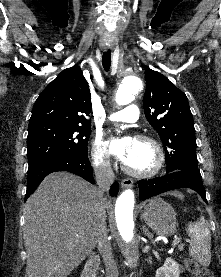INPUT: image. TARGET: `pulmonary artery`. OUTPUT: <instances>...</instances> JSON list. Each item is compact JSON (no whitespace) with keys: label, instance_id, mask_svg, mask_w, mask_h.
<instances>
[{"label":"pulmonary artery","instance_id":"1","mask_svg":"<svg viewBox=\"0 0 221 277\" xmlns=\"http://www.w3.org/2000/svg\"><path fill=\"white\" fill-rule=\"evenodd\" d=\"M139 116V108L132 104L120 111L110 114L108 118L111 121L133 123L139 119Z\"/></svg>","mask_w":221,"mask_h":277}]
</instances>
